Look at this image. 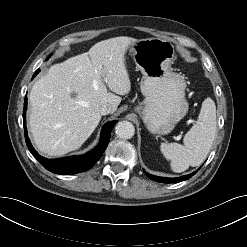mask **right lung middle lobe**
Instances as JSON below:
<instances>
[{
  "instance_id": "1",
  "label": "right lung middle lobe",
  "mask_w": 247,
  "mask_h": 247,
  "mask_svg": "<svg viewBox=\"0 0 247 247\" xmlns=\"http://www.w3.org/2000/svg\"><path fill=\"white\" fill-rule=\"evenodd\" d=\"M40 70L38 69L37 71H35V73H38Z\"/></svg>"
}]
</instances>
